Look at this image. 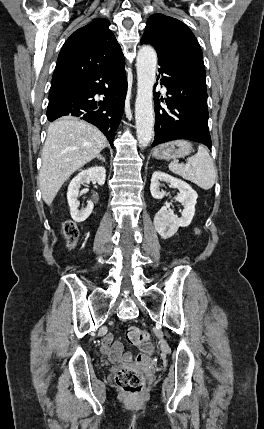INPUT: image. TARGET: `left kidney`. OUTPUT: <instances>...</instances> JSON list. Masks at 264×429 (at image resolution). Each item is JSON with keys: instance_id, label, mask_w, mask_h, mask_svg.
<instances>
[{"instance_id": "obj_1", "label": "left kidney", "mask_w": 264, "mask_h": 429, "mask_svg": "<svg viewBox=\"0 0 264 429\" xmlns=\"http://www.w3.org/2000/svg\"><path fill=\"white\" fill-rule=\"evenodd\" d=\"M160 181H165L171 187L179 190L176 201L180 202L183 206L181 217L176 216L167 206H163L154 217V227L157 233L164 239L172 237L179 229V227L188 226L195 214V205L197 200V193L186 182L174 178L169 174L161 171H155L151 178L150 192L153 198L162 199L164 192L160 191Z\"/></svg>"}]
</instances>
